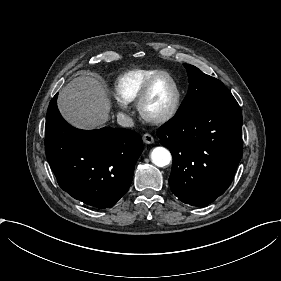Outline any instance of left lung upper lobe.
I'll return each mask as SVG.
<instances>
[{"label": "left lung upper lobe", "mask_w": 281, "mask_h": 281, "mask_svg": "<svg viewBox=\"0 0 281 281\" xmlns=\"http://www.w3.org/2000/svg\"><path fill=\"white\" fill-rule=\"evenodd\" d=\"M189 77V89L177 114L201 107L235 101L233 95L218 79L197 67L184 64Z\"/></svg>", "instance_id": "obj_1"}]
</instances>
